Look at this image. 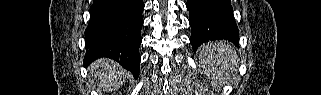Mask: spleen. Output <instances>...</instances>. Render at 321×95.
I'll use <instances>...</instances> for the list:
<instances>
[{"instance_id":"obj_1","label":"spleen","mask_w":321,"mask_h":95,"mask_svg":"<svg viewBox=\"0 0 321 95\" xmlns=\"http://www.w3.org/2000/svg\"><path fill=\"white\" fill-rule=\"evenodd\" d=\"M199 56L201 65L214 84L228 82L238 62L235 48L224 41H213L201 46Z\"/></svg>"}]
</instances>
